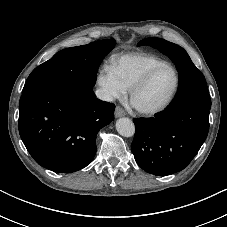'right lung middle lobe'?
Here are the masks:
<instances>
[{
	"label": "right lung middle lobe",
	"instance_id": "right-lung-middle-lobe-1",
	"mask_svg": "<svg viewBox=\"0 0 227 227\" xmlns=\"http://www.w3.org/2000/svg\"><path fill=\"white\" fill-rule=\"evenodd\" d=\"M115 40H101L57 52L29 75L22 94L56 84H79L93 87L98 67L113 48Z\"/></svg>",
	"mask_w": 227,
	"mask_h": 227
}]
</instances>
